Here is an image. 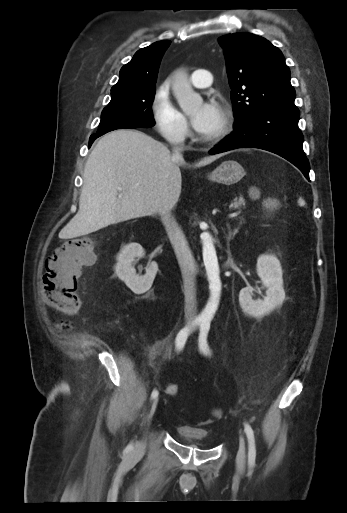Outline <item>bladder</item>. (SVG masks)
Here are the masks:
<instances>
[{"label":"bladder","instance_id":"obj_1","mask_svg":"<svg viewBox=\"0 0 347 513\" xmlns=\"http://www.w3.org/2000/svg\"><path fill=\"white\" fill-rule=\"evenodd\" d=\"M178 434L185 444L203 450H211L217 446V443L209 437L206 429L182 425L178 427Z\"/></svg>","mask_w":347,"mask_h":513}]
</instances>
